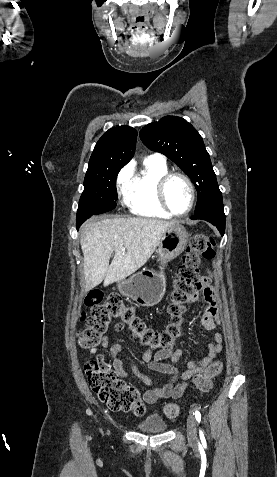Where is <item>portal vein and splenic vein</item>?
I'll return each instance as SVG.
<instances>
[{
    "label": "portal vein and splenic vein",
    "mask_w": 277,
    "mask_h": 477,
    "mask_svg": "<svg viewBox=\"0 0 277 477\" xmlns=\"http://www.w3.org/2000/svg\"><path fill=\"white\" fill-rule=\"evenodd\" d=\"M122 251L124 252V251H125V249H124V248H122Z\"/></svg>",
    "instance_id": "1"
}]
</instances>
